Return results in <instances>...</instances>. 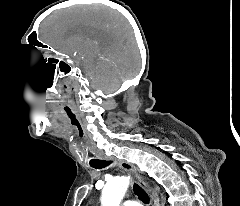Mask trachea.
Segmentation results:
<instances>
[{
    "mask_svg": "<svg viewBox=\"0 0 240 206\" xmlns=\"http://www.w3.org/2000/svg\"><path fill=\"white\" fill-rule=\"evenodd\" d=\"M109 164H111L110 161H105V160H94L92 162H90V166L96 169H101L104 168L106 166H108ZM133 190L135 192V194L138 195V197L145 203H149V198L147 193L144 191V189L142 187H140L138 184H134L133 185Z\"/></svg>",
    "mask_w": 240,
    "mask_h": 206,
    "instance_id": "obj_1",
    "label": "trachea"
}]
</instances>
